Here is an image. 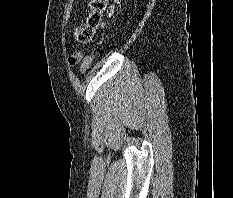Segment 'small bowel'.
<instances>
[{
    "instance_id": "small-bowel-1",
    "label": "small bowel",
    "mask_w": 233,
    "mask_h": 198,
    "mask_svg": "<svg viewBox=\"0 0 233 198\" xmlns=\"http://www.w3.org/2000/svg\"><path fill=\"white\" fill-rule=\"evenodd\" d=\"M113 14V8H110L108 10V15L111 16ZM101 26V23L99 24V26L95 29V31ZM94 31V32H95ZM75 57L77 58V60H79L81 58V55L80 54H76Z\"/></svg>"
}]
</instances>
